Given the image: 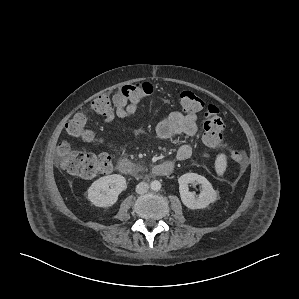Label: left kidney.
<instances>
[{
	"label": "left kidney",
	"mask_w": 299,
	"mask_h": 299,
	"mask_svg": "<svg viewBox=\"0 0 299 299\" xmlns=\"http://www.w3.org/2000/svg\"><path fill=\"white\" fill-rule=\"evenodd\" d=\"M197 182L201 184L202 191L198 197L189 191L188 184ZM179 192L182 203L189 209H203L217 200V193L211 183L201 175L196 173H186L179 177Z\"/></svg>",
	"instance_id": "left-kidney-1"
}]
</instances>
